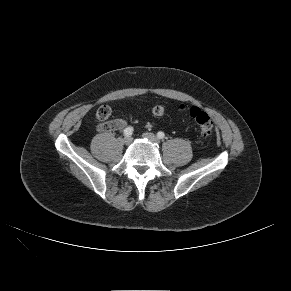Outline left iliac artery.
I'll return each instance as SVG.
<instances>
[{
    "instance_id": "44dca946",
    "label": "left iliac artery",
    "mask_w": 291,
    "mask_h": 291,
    "mask_svg": "<svg viewBox=\"0 0 291 291\" xmlns=\"http://www.w3.org/2000/svg\"><path fill=\"white\" fill-rule=\"evenodd\" d=\"M164 136H165V134H164V132H162V131H159V132L157 133V137H158L159 139H163Z\"/></svg>"
}]
</instances>
